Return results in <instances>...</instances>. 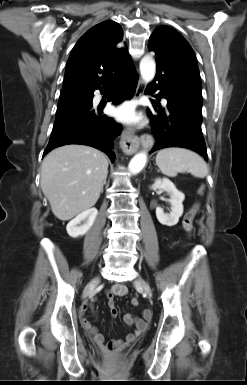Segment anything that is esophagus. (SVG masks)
Here are the masks:
<instances>
[{
    "instance_id": "34e87169",
    "label": "esophagus",
    "mask_w": 247,
    "mask_h": 385,
    "mask_svg": "<svg viewBox=\"0 0 247 385\" xmlns=\"http://www.w3.org/2000/svg\"><path fill=\"white\" fill-rule=\"evenodd\" d=\"M144 89H145V84L140 79L136 87L134 97L136 99L140 98L144 92ZM120 146L126 154H133L138 150L139 139L135 135V131L132 128L128 127L123 131L121 135Z\"/></svg>"
}]
</instances>
